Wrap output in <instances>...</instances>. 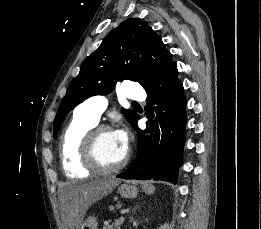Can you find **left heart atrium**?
Here are the masks:
<instances>
[{"label":"left heart atrium","mask_w":261,"mask_h":229,"mask_svg":"<svg viewBox=\"0 0 261 229\" xmlns=\"http://www.w3.org/2000/svg\"><path fill=\"white\" fill-rule=\"evenodd\" d=\"M114 133L119 141L121 149L126 154L129 149V142H130L128 130L122 128V129L115 130Z\"/></svg>","instance_id":"obj_1"}]
</instances>
